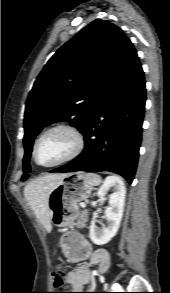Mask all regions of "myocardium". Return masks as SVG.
I'll use <instances>...</instances> for the list:
<instances>
[{"label":"myocardium","mask_w":170,"mask_h":293,"mask_svg":"<svg viewBox=\"0 0 170 293\" xmlns=\"http://www.w3.org/2000/svg\"><path fill=\"white\" fill-rule=\"evenodd\" d=\"M57 129H65L67 131H69L75 138V148L74 150L65 158L55 162V163H51V164H43L40 163L37 160V147L40 143V141L50 132L57 130ZM85 147V141L84 138L82 136V134L80 133V131L78 129H76L74 126L69 125V124H64V123H60V124H55L50 126L49 128H47L46 130H44L39 137L35 140L34 145H33V150H32V157L34 162L44 168H52V167H57L60 165H63L65 163H68L74 159H76L83 151Z\"/></svg>","instance_id":"obj_1"}]
</instances>
